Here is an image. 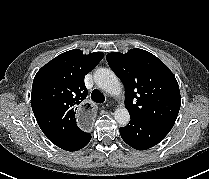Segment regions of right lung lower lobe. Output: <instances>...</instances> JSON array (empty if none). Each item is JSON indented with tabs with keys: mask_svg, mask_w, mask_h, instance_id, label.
Listing matches in <instances>:
<instances>
[{
	"mask_svg": "<svg viewBox=\"0 0 209 179\" xmlns=\"http://www.w3.org/2000/svg\"><path fill=\"white\" fill-rule=\"evenodd\" d=\"M91 139V134L78 129L69 137L55 143L58 147L67 151H77L85 147Z\"/></svg>",
	"mask_w": 209,
	"mask_h": 179,
	"instance_id": "1",
	"label": "right lung lower lobe"
}]
</instances>
